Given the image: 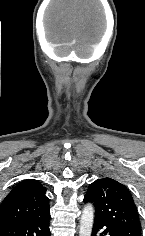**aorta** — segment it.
<instances>
[{"instance_id":"762f6f07","label":"aorta","mask_w":145,"mask_h":236,"mask_svg":"<svg viewBox=\"0 0 145 236\" xmlns=\"http://www.w3.org/2000/svg\"><path fill=\"white\" fill-rule=\"evenodd\" d=\"M94 222V208L91 204H87L81 215L79 236H91Z\"/></svg>"}]
</instances>
